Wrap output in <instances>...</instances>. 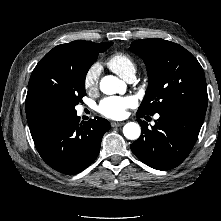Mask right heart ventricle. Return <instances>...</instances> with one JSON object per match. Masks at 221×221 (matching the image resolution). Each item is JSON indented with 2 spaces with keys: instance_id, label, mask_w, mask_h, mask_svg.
<instances>
[{
  "instance_id": "right-heart-ventricle-1",
  "label": "right heart ventricle",
  "mask_w": 221,
  "mask_h": 221,
  "mask_svg": "<svg viewBox=\"0 0 221 221\" xmlns=\"http://www.w3.org/2000/svg\"><path fill=\"white\" fill-rule=\"evenodd\" d=\"M107 66L124 79L136 72V64L133 58L122 52L111 55L107 60Z\"/></svg>"
}]
</instances>
